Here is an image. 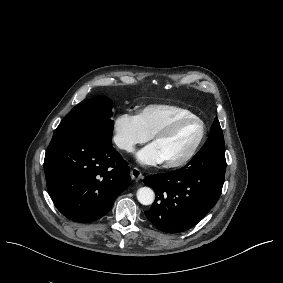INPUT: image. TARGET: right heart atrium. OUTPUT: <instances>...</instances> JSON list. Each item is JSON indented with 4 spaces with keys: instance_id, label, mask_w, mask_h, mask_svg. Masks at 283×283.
I'll list each match as a JSON object with an SVG mask.
<instances>
[{
    "instance_id": "d8ad5b80",
    "label": "right heart atrium",
    "mask_w": 283,
    "mask_h": 283,
    "mask_svg": "<svg viewBox=\"0 0 283 283\" xmlns=\"http://www.w3.org/2000/svg\"><path fill=\"white\" fill-rule=\"evenodd\" d=\"M150 138L151 135L143 125L140 115L121 112L112 118L111 140L118 149L132 152L137 144Z\"/></svg>"
}]
</instances>
